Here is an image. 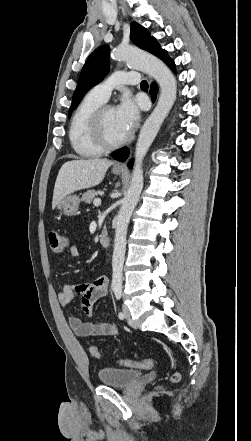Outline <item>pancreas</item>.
<instances>
[{
    "instance_id": "pancreas-1",
    "label": "pancreas",
    "mask_w": 251,
    "mask_h": 441,
    "mask_svg": "<svg viewBox=\"0 0 251 441\" xmlns=\"http://www.w3.org/2000/svg\"><path fill=\"white\" fill-rule=\"evenodd\" d=\"M97 191L95 190H87L81 198V201L90 204L92 202V200L95 198V196L97 195Z\"/></svg>"
}]
</instances>
